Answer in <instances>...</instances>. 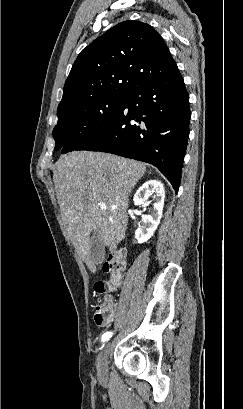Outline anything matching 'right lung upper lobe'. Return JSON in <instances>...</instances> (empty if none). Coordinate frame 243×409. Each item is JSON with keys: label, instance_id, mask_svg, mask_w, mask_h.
<instances>
[{"label": "right lung upper lobe", "instance_id": "right-lung-upper-lobe-1", "mask_svg": "<svg viewBox=\"0 0 243 409\" xmlns=\"http://www.w3.org/2000/svg\"><path fill=\"white\" fill-rule=\"evenodd\" d=\"M178 69L162 37L149 24L129 20L109 29L78 55L58 110L134 88Z\"/></svg>", "mask_w": 243, "mask_h": 409}]
</instances>
